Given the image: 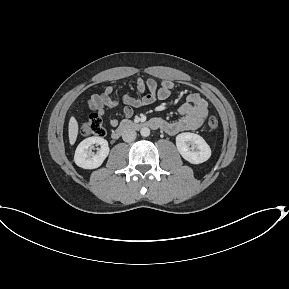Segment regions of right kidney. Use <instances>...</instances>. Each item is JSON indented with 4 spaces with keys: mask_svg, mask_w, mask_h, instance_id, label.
<instances>
[{
    "mask_svg": "<svg viewBox=\"0 0 289 289\" xmlns=\"http://www.w3.org/2000/svg\"><path fill=\"white\" fill-rule=\"evenodd\" d=\"M99 145L97 153L92 152L94 145ZM109 154L108 142L102 137H89L84 139L76 148L74 161L77 166L84 169H95L101 166Z\"/></svg>",
    "mask_w": 289,
    "mask_h": 289,
    "instance_id": "right-kidney-1",
    "label": "right kidney"
}]
</instances>
